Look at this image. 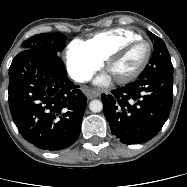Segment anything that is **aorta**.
I'll return each instance as SVG.
<instances>
[{"label":"aorta","mask_w":187,"mask_h":187,"mask_svg":"<svg viewBox=\"0 0 187 187\" xmlns=\"http://www.w3.org/2000/svg\"><path fill=\"white\" fill-rule=\"evenodd\" d=\"M89 109L94 113H99L103 110V103L98 99L92 100L89 103Z\"/></svg>","instance_id":"762f6f07"}]
</instances>
